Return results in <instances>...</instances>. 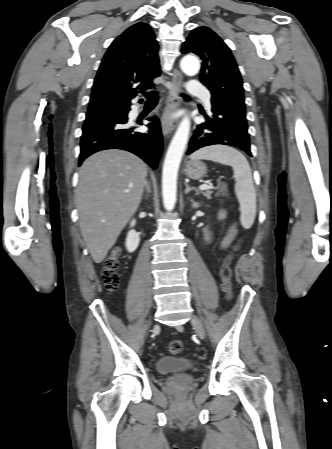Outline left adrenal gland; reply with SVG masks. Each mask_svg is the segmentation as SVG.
Wrapping results in <instances>:
<instances>
[{"label": "left adrenal gland", "mask_w": 332, "mask_h": 449, "mask_svg": "<svg viewBox=\"0 0 332 449\" xmlns=\"http://www.w3.org/2000/svg\"><path fill=\"white\" fill-rule=\"evenodd\" d=\"M186 189H185V194L189 193L191 190H194L197 192L196 188L194 187H190L188 183H185ZM198 194V192H197Z\"/></svg>", "instance_id": "left-adrenal-gland-1"}]
</instances>
